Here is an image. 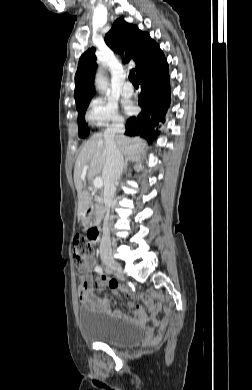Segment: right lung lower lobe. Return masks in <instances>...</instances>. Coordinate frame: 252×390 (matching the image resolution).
I'll use <instances>...</instances> for the list:
<instances>
[{
	"label": "right lung lower lobe",
	"mask_w": 252,
	"mask_h": 390,
	"mask_svg": "<svg viewBox=\"0 0 252 390\" xmlns=\"http://www.w3.org/2000/svg\"><path fill=\"white\" fill-rule=\"evenodd\" d=\"M138 82L141 88L138 102L142 111L137 117L129 118L125 134L153 140L159 132L152 129L164 122L170 104L168 64L144 73Z\"/></svg>",
	"instance_id": "1"
}]
</instances>
